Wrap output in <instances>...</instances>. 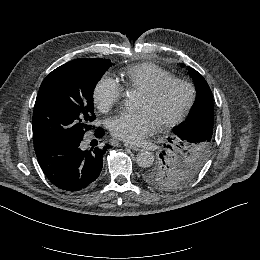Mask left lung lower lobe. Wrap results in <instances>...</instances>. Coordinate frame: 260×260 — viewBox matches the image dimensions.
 Here are the masks:
<instances>
[{
	"mask_svg": "<svg viewBox=\"0 0 260 260\" xmlns=\"http://www.w3.org/2000/svg\"><path fill=\"white\" fill-rule=\"evenodd\" d=\"M198 114L193 115V122L195 125L191 127L194 130V134H208L213 131L214 111L213 109L200 107L197 109Z\"/></svg>",
	"mask_w": 260,
	"mask_h": 260,
	"instance_id": "0a47b994",
	"label": "left lung lower lobe"
}]
</instances>
